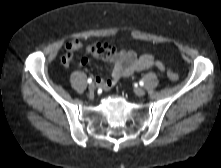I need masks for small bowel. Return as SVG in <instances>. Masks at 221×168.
<instances>
[{
    "mask_svg": "<svg viewBox=\"0 0 221 168\" xmlns=\"http://www.w3.org/2000/svg\"><path fill=\"white\" fill-rule=\"evenodd\" d=\"M84 45L79 40H72L65 46V54L62 57V63L68 65L74 58L75 51L83 48ZM88 53L96 57L105 59L111 67L112 73L109 79L96 77V84L103 89H110L120 79L129 77L136 72L157 68L164 70V64L155 59L151 54L138 55L132 50H118L115 45L109 42H95L85 46ZM81 66H86L89 61L87 58H81Z\"/></svg>",
    "mask_w": 221,
    "mask_h": 168,
    "instance_id": "obj_1",
    "label": "small bowel"
}]
</instances>
